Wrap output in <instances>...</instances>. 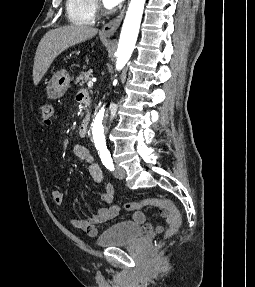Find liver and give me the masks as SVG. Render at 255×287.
<instances>
[{
  "label": "liver",
  "instance_id": "liver-1",
  "mask_svg": "<svg viewBox=\"0 0 255 287\" xmlns=\"http://www.w3.org/2000/svg\"><path fill=\"white\" fill-rule=\"evenodd\" d=\"M98 34V28L90 26H63L57 30H49L38 44L34 58L33 82L39 84L53 60L67 48L86 42Z\"/></svg>",
  "mask_w": 255,
  "mask_h": 287
}]
</instances>
